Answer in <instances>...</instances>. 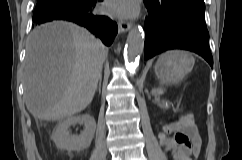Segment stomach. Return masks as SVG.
I'll use <instances>...</instances> for the list:
<instances>
[{"label":"stomach","mask_w":242,"mask_h":160,"mask_svg":"<svg viewBox=\"0 0 242 160\" xmlns=\"http://www.w3.org/2000/svg\"><path fill=\"white\" fill-rule=\"evenodd\" d=\"M194 65V58L187 51H172L159 57L155 73L163 83H175L183 79Z\"/></svg>","instance_id":"stomach-1"}]
</instances>
